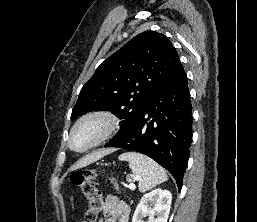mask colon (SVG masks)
<instances>
[{
  "label": "colon",
  "mask_w": 257,
  "mask_h": 222,
  "mask_svg": "<svg viewBox=\"0 0 257 222\" xmlns=\"http://www.w3.org/2000/svg\"><path fill=\"white\" fill-rule=\"evenodd\" d=\"M98 172L95 169H80L71 175V184L80 189L87 201L83 222H96L98 214L103 209L101 191L96 182Z\"/></svg>",
  "instance_id": "colon-1"
}]
</instances>
